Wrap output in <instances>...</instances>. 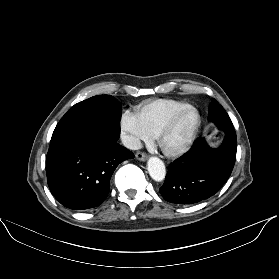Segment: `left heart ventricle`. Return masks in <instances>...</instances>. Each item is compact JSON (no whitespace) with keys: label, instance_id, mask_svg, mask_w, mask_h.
<instances>
[{"label":"left heart ventricle","instance_id":"obj_1","mask_svg":"<svg viewBox=\"0 0 279 279\" xmlns=\"http://www.w3.org/2000/svg\"><path fill=\"white\" fill-rule=\"evenodd\" d=\"M196 123V115L194 112H188L182 116L175 124L172 131L164 140V146L168 149H176L180 147L186 140L189 132Z\"/></svg>","mask_w":279,"mask_h":279}]
</instances>
